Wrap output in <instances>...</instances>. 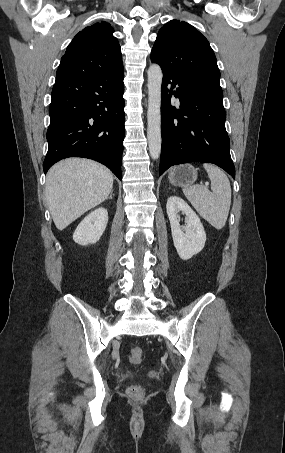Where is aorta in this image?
<instances>
[{
  "mask_svg": "<svg viewBox=\"0 0 285 453\" xmlns=\"http://www.w3.org/2000/svg\"><path fill=\"white\" fill-rule=\"evenodd\" d=\"M162 70L158 64H152L148 69V111L147 138L152 159L159 158L161 153V84Z\"/></svg>",
  "mask_w": 285,
  "mask_h": 453,
  "instance_id": "aorta-1",
  "label": "aorta"
}]
</instances>
